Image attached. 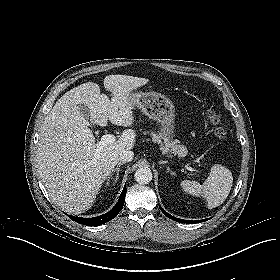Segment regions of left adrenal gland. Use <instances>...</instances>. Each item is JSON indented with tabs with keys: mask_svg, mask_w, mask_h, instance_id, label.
I'll return each instance as SVG.
<instances>
[{
	"mask_svg": "<svg viewBox=\"0 0 280 280\" xmlns=\"http://www.w3.org/2000/svg\"><path fill=\"white\" fill-rule=\"evenodd\" d=\"M167 172L171 173V175H175V173L168 167L166 166Z\"/></svg>",
	"mask_w": 280,
	"mask_h": 280,
	"instance_id": "a2214340",
	"label": "left adrenal gland"
}]
</instances>
